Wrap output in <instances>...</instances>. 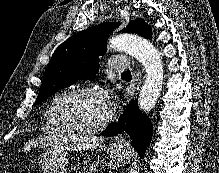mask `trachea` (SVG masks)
Instances as JSON below:
<instances>
[{
  "instance_id": "1",
  "label": "trachea",
  "mask_w": 219,
  "mask_h": 173,
  "mask_svg": "<svg viewBox=\"0 0 219 173\" xmlns=\"http://www.w3.org/2000/svg\"><path fill=\"white\" fill-rule=\"evenodd\" d=\"M122 74H123V75H130L131 72L128 70V71H126V72H123Z\"/></svg>"
}]
</instances>
